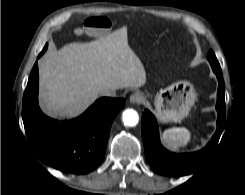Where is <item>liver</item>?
I'll use <instances>...</instances> for the list:
<instances>
[{
    "label": "liver",
    "mask_w": 245,
    "mask_h": 195,
    "mask_svg": "<svg viewBox=\"0 0 245 195\" xmlns=\"http://www.w3.org/2000/svg\"><path fill=\"white\" fill-rule=\"evenodd\" d=\"M41 105L46 113L74 117L103 90L146 84V72L128 44L127 27L89 43H70L39 61Z\"/></svg>",
    "instance_id": "1"
}]
</instances>
